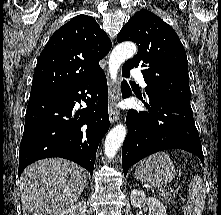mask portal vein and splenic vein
<instances>
[{"instance_id":"18ae733b","label":"portal vein and splenic vein","mask_w":221,"mask_h":215,"mask_svg":"<svg viewBox=\"0 0 221 215\" xmlns=\"http://www.w3.org/2000/svg\"><path fill=\"white\" fill-rule=\"evenodd\" d=\"M164 194H173V191L172 190H170V191H162L161 193H160V195H164Z\"/></svg>"}]
</instances>
